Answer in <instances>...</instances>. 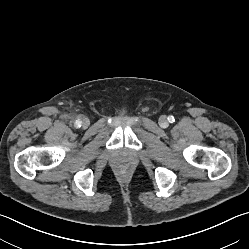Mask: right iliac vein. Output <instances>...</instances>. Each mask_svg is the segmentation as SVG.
<instances>
[{
  "label": "right iliac vein",
  "mask_w": 249,
  "mask_h": 249,
  "mask_svg": "<svg viewBox=\"0 0 249 249\" xmlns=\"http://www.w3.org/2000/svg\"><path fill=\"white\" fill-rule=\"evenodd\" d=\"M89 124H90L89 119L88 118H84L83 121H82V126L84 128H87L89 126Z\"/></svg>",
  "instance_id": "right-iliac-vein-1"
}]
</instances>
